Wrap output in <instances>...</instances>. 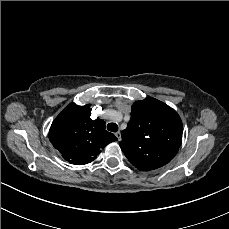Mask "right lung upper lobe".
I'll use <instances>...</instances> for the list:
<instances>
[{"label": "right lung upper lobe", "mask_w": 229, "mask_h": 229, "mask_svg": "<svg viewBox=\"0 0 229 229\" xmlns=\"http://www.w3.org/2000/svg\"><path fill=\"white\" fill-rule=\"evenodd\" d=\"M90 104L68 105L53 121L49 140L69 163L80 165L93 161L117 138L105 130L102 119L90 118Z\"/></svg>", "instance_id": "right-lung-upper-lobe-1"}]
</instances>
